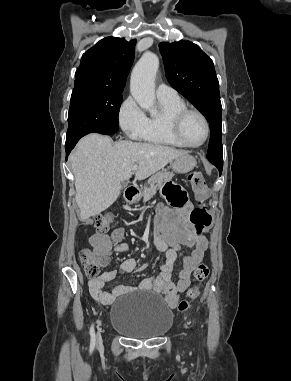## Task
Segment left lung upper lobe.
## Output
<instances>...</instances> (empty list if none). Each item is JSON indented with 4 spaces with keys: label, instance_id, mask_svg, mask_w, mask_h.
Masks as SVG:
<instances>
[{
    "label": "left lung upper lobe",
    "instance_id": "left-lung-upper-lobe-1",
    "mask_svg": "<svg viewBox=\"0 0 291 381\" xmlns=\"http://www.w3.org/2000/svg\"><path fill=\"white\" fill-rule=\"evenodd\" d=\"M170 85L208 120V155L222 156V107L213 61L190 41L159 44Z\"/></svg>",
    "mask_w": 291,
    "mask_h": 381
}]
</instances>
